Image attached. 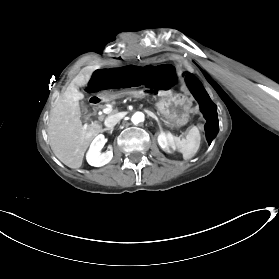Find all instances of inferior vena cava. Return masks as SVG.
<instances>
[{
    "label": "inferior vena cava",
    "mask_w": 279,
    "mask_h": 279,
    "mask_svg": "<svg viewBox=\"0 0 279 279\" xmlns=\"http://www.w3.org/2000/svg\"><path fill=\"white\" fill-rule=\"evenodd\" d=\"M126 113H123V117ZM121 118L118 117V114L117 115H111V116H108V118H106L105 120V125L107 127H113Z\"/></svg>",
    "instance_id": "inferior-vena-cava-1"
}]
</instances>
